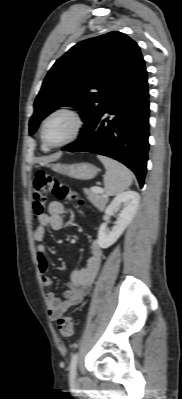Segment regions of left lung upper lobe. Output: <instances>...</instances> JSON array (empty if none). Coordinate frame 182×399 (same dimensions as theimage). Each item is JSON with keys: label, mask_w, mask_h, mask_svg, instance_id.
<instances>
[{"label": "left lung upper lobe", "mask_w": 182, "mask_h": 399, "mask_svg": "<svg viewBox=\"0 0 182 399\" xmlns=\"http://www.w3.org/2000/svg\"><path fill=\"white\" fill-rule=\"evenodd\" d=\"M142 67L144 60L135 41L121 32L77 43L52 66L43 81L29 122L33 134L38 123L54 108L80 110L83 136L102 113L112 95Z\"/></svg>", "instance_id": "left-lung-upper-lobe-1"}]
</instances>
